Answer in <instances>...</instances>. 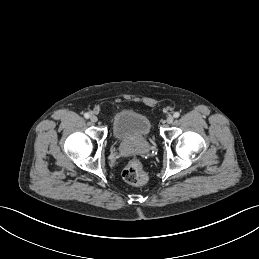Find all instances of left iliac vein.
<instances>
[{"mask_svg":"<svg viewBox=\"0 0 259 259\" xmlns=\"http://www.w3.org/2000/svg\"><path fill=\"white\" fill-rule=\"evenodd\" d=\"M173 121H174V117L171 116V115H169V116L167 117V119H166V122H167L168 124H171Z\"/></svg>","mask_w":259,"mask_h":259,"instance_id":"obj_1","label":"left iliac vein"}]
</instances>
